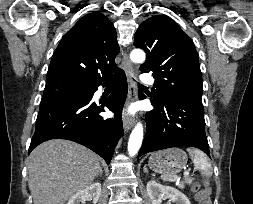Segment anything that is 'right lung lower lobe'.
Listing matches in <instances>:
<instances>
[{
  "mask_svg": "<svg viewBox=\"0 0 253 204\" xmlns=\"http://www.w3.org/2000/svg\"><path fill=\"white\" fill-rule=\"evenodd\" d=\"M114 81L115 87L106 103L92 100L99 85ZM127 96V80L121 70L109 80L92 87L87 97H65L41 100L36 129L29 153L40 143L50 139H67L77 142L100 155L110 163L115 145L123 134L121 111ZM104 106L114 112L113 119H103L99 113Z\"/></svg>",
  "mask_w": 253,
  "mask_h": 204,
  "instance_id": "98d812e1",
  "label": "right lung lower lobe"
}]
</instances>
